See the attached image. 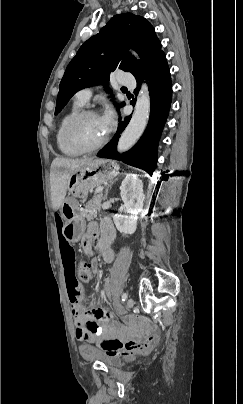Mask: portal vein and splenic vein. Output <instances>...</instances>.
I'll use <instances>...</instances> for the list:
<instances>
[{
	"mask_svg": "<svg viewBox=\"0 0 243 404\" xmlns=\"http://www.w3.org/2000/svg\"><path fill=\"white\" fill-rule=\"evenodd\" d=\"M102 190H104V188H96L95 194H98V192H102Z\"/></svg>",
	"mask_w": 243,
	"mask_h": 404,
	"instance_id": "18ae733b",
	"label": "portal vein and splenic vein"
}]
</instances>
